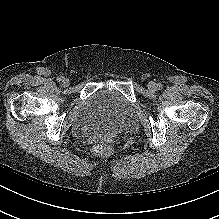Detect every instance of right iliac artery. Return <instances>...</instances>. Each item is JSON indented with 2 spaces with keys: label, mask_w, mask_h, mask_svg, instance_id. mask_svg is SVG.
Returning <instances> with one entry per match:
<instances>
[{
  "label": "right iliac artery",
  "mask_w": 219,
  "mask_h": 219,
  "mask_svg": "<svg viewBox=\"0 0 219 219\" xmlns=\"http://www.w3.org/2000/svg\"><path fill=\"white\" fill-rule=\"evenodd\" d=\"M63 78H64V77H62V76H60V77H57V81H59V82H60V81H62V80H63Z\"/></svg>",
  "instance_id": "82829eb1"
}]
</instances>
